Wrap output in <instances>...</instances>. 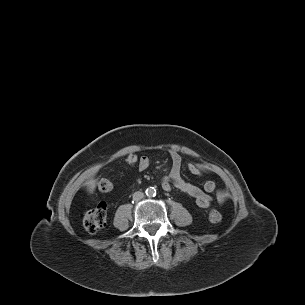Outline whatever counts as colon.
I'll return each mask as SVG.
<instances>
[{"mask_svg": "<svg viewBox=\"0 0 305 305\" xmlns=\"http://www.w3.org/2000/svg\"><path fill=\"white\" fill-rule=\"evenodd\" d=\"M141 156L135 150L128 151L124 155V163L128 166H135L139 164ZM98 187L102 192H109L113 188L112 182L103 178L99 181ZM222 219V215L218 210H211L209 213V220L212 223H218ZM107 220V206L105 203H100L96 207L85 211L83 216V224L85 229L90 233H95L102 229Z\"/></svg>", "mask_w": 305, "mask_h": 305, "instance_id": "obj_1", "label": "colon"}]
</instances>
